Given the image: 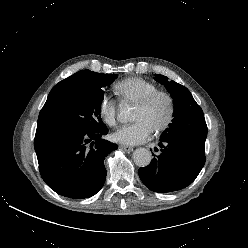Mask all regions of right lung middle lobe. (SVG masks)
I'll list each match as a JSON object with an SVG mask.
<instances>
[{"label": "right lung middle lobe", "mask_w": 248, "mask_h": 248, "mask_svg": "<svg viewBox=\"0 0 248 248\" xmlns=\"http://www.w3.org/2000/svg\"><path fill=\"white\" fill-rule=\"evenodd\" d=\"M83 71L77 87L61 97L46 101L40 111L37 128L99 130L106 126L100 116L103 90L117 76Z\"/></svg>", "instance_id": "obj_1"}]
</instances>
